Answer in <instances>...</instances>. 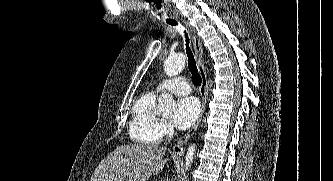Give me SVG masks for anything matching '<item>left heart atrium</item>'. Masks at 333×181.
<instances>
[{
	"instance_id": "left-heart-atrium-1",
	"label": "left heart atrium",
	"mask_w": 333,
	"mask_h": 181,
	"mask_svg": "<svg viewBox=\"0 0 333 181\" xmlns=\"http://www.w3.org/2000/svg\"><path fill=\"white\" fill-rule=\"evenodd\" d=\"M200 114V104L194 97L181 98L173 114V122L179 129H187L193 125Z\"/></svg>"
}]
</instances>
